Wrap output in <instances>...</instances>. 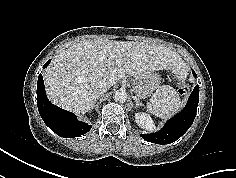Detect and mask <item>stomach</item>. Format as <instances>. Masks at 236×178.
<instances>
[{
	"label": "stomach",
	"mask_w": 236,
	"mask_h": 178,
	"mask_svg": "<svg viewBox=\"0 0 236 178\" xmlns=\"http://www.w3.org/2000/svg\"><path fill=\"white\" fill-rule=\"evenodd\" d=\"M160 76L156 72L141 76L135 80L134 92L137 98L150 96L160 84Z\"/></svg>",
	"instance_id": "stomach-1"
}]
</instances>
